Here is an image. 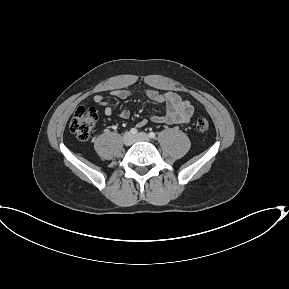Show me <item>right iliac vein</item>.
<instances>
[{"instance_id":"right-iliac-vein-1","label":"right iliac vein","mask_w":289,"mask_h":289,"mask_svg":"<svg viewBox=\"0 0 289 289\" xmlns=\"http://www.w3.org/2000/svg\"><path fill=\"white\" fill-rule=\"evenodd\" d=\"M134 142V137L130 132H126L123 135V143L126 146H130Z\"/></svg>"}]
</instances>
